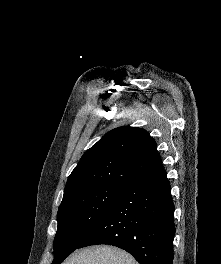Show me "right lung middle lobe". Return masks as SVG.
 Returning <instances> with one entry per match:
<instances>
[{
  "instance_id": "1",
  "label": "right lung middle lobe",
  "mask_w": 221,
  "mask_h": 264,
  "mask_svg": "<svg viewBox=\"0 0 221 264\" xmlns=\"http://www.w3.org/2000/svg\"><path fill=\"white\" fill-rule=\"evenodd\" d=\"M125 187L124 184L96 185L62 200L52 264H60L80 246L105 218Z\"/></svg>"
}]
</instances>
